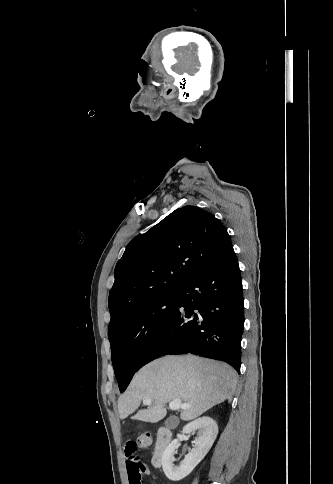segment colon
<instances>
[{
    "mask_svg": "<svg viewBox=\"0 0 333 484\" xmlns=\"http://www.w3.org/2000/svg\"><path fill=\"white\" fill-rule=\"evenodd\" d=\"M152 443V435L148 432L142 433L137 438V446L140 448H147Z\"/></svg>",
    "mask_w": 333,
    "mask_h": 484,
    "instance_id": "colon-1",
    "label": "colon"
}]
</instances>
